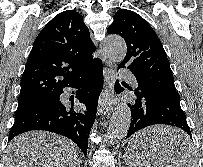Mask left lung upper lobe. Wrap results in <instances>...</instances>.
<instances>
[{"instance_id":"left-lung-upper-lobe-1","label":"left lung upper lobe","mask_w":203,"mask_h":167,"mask_svg":"<svg viewBox=\"0 0 203 167\" xmlns=\"http://www.w3.org/2000/svg\"><path fill=\"white\" fill-rule=\"evenodd\" d=\"M107 32L119 34L127 44V54L120 66H126L135 75V90L152 86L163 92H176L165 50L147 21L131 10L120 9Z\"/></svg>"}]
</instances>
